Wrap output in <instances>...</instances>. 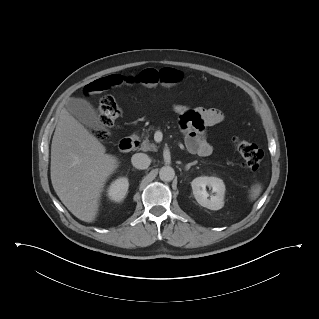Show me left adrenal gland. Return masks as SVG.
<instances>
[{"mask_svg": "<svg viewBox=\"0 0 319 319\" xmlns=\"http://www.w3.org/2000/svg\"><path fill=\"white\" fill-rule=\"evenodd\" d=\"M197 162L194 161V162H191V163H188L186 166H185V170H189L191 166L195 165Z\"/></svg>", "mask_w": 319, "mask_h": 319, "instance_id": "obj_1", "label": "left adrenal gland"}]
</instances>
